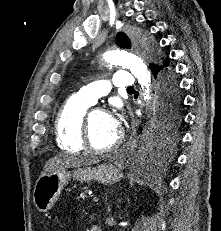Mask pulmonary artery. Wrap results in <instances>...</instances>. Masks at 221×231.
Here are the masks:
<instances>
[{"instance_id":"e3ab8cb5","label":"pulmonary artery","mask_w":221,"mask_h":231,"mask_svg":"<svg viewBox=\"0 0 221 231\" xmlns=\"http://www.w3.org/2000/svg\"><path fill=\"white\" fill-rule=\"evenodd\" d=\"M134 86L135 80L129 72L118 71L110 79L96 81L84 86L75 96L89 104H94L98 98L108 94L112 87L130 88Z\"/></svg>"}]
</instances>
